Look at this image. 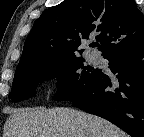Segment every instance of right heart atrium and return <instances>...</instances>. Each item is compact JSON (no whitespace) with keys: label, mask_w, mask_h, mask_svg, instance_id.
Listing matches in <instances>:
<instances>
[{"label":"right heart atrium","mask_w":144,"mask_h":137,"mask_svg":"<svg viewBox=\"0 0 144 137\" xmlns=\"http://www.w3.org/2000/svg\"><path fill=\"white\" fill-rule=\"evenodd\" d=\"M64 76L62 74H58L55 78H54V82L56 84L61 83L63 81Z\"/></svg>","instance_id":"obj_1"}]
</instances>
